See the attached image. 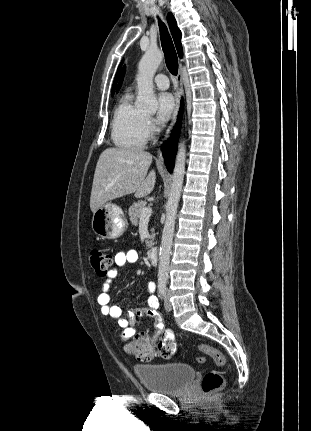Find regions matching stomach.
<instances>
[{
  "mask_svg": "<svg viewBox=\"0 0 311 431\" xmlns=\"http://www.w3.org/2000/svg\"><path fill=\"white\" fill-rule=\"evenodd\" d=\"M91 227L102 239H116L127 229L128 221L120 206L107 202L102 208L93 212Z\"/></svg>",
  "mask_w": 311,
  "mask_h": 431,
  "instance_id": "0dacf381",
  "label": "stomach"
}]
</instances>
